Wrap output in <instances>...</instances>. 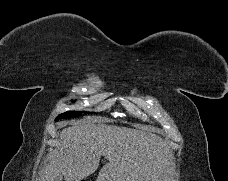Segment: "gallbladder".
I'll return each mask as SVG.
<instances>
[{
    "label": "gallbladder",
    "instance_id": "gallbladder-1",
    "mask_svg": "<svg viewBox=\"0 0 228 181\" xmlns=\"http://www.w3.org/2000/svg\"><path fill=\"white\" fill-rule=\"evenodd\" d=\"M54 181H63V175H57V177H55Z\"/></svg>",
    "mask_w": 228,
    "mask_h": 181
}]
</instances>
